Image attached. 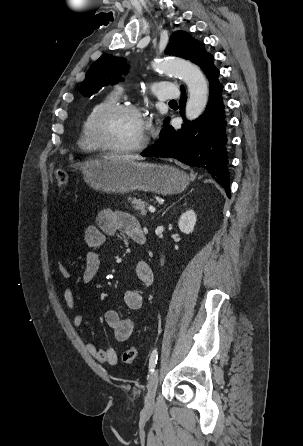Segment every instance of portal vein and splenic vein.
Wrapping results in <instances>:
<instances>
[{
  "instance_id": "portal-vein-and-splenic-vein-1",
  "label": "portal vein and splenic vein",
  "mask_w": 303,
  "mask_h": 446,
  "mask_svg": "<svg viewBox=\"0 0 303 446\" xmlns=\"http://www.w3.org/2000/svg\"><path fill=\"white\" fill-rule=\"evenodd\" d=\"M148 210H149L151 213H154V212H155V208H154V206H152V205H149V206H148Z\"/></svg>"
}]
</instances>
